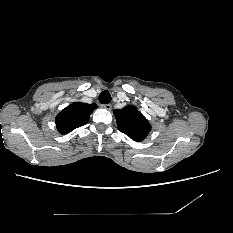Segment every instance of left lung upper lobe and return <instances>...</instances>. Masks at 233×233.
<instances>
[{"label": "left lung upper lobe", "mask_w": 233, "mask_h": 233, "mask_svg": "<svg viewBox=\"0 0 233 233\" xmlns=\"http://www.w3.org/2000/svg\"><path fill=\"white\" fill-rule=\"evenodd\" d=\"M116 123L121 132L135 141H142L151 130L148 120L135 107L114 110Z\"/></svg>", "instance_id": "left-lung-upper-lobe-1"}]
</instances>
